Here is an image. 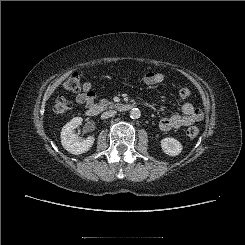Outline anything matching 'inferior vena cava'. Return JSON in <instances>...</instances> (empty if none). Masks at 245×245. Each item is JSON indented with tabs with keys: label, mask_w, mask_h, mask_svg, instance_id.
Listing matches in <instances>:
<instances>
[{
	"label": "inferior vena cava",
	"mask_w": 245,
	"mask_h": 245,
	"mask_svg": "<svg viewBox=\"0 0 245 245\" xmlns=\"http://www.w3.org/2000/svg\"><path fill=\"white\" fill-rule=\"evenodd\" d=\"M116 113H117V112L114 111V110L106 111V112H104V113L101 115V118H102V119H107V118H110V117L115 116Z\"/></svg>",
	"instance_id": "inferior-vena-cava-1"
}]
</instances>
